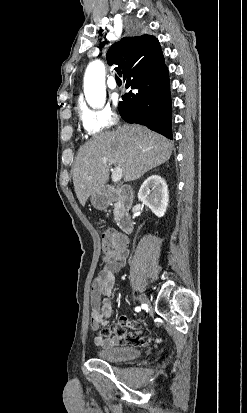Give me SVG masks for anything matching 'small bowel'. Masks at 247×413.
<instances>
[{"label":"small bowel","mask_w":247,"mask_h":413,"mask_svg":"<svg viewBox=\"0 0 247 413\" xmlns=\"http://www.w3.org/2000/svg\"><path fill=\"white\" fill-rule=\"evenodd\" d=\"M129 255L130 251L127 246L108 256L106 263L98 272L93 282L90 293V327L93 331H99L102 326L108 323V319L112 314L111 290L114 285V275L125 266ZM120 322L122 325L130 327V323L134 321L121 317ZM119 329L120 327H114L95 335V345L104 349H110L125 343H133L135 349H142L143 347H150V342L156 340L155 336L145 334L142 322L135 321L133 324L134 330H129L128 334H123L122 336L118 333ZM136 337H140V340H136Z\"/></svg>","instance_id":"c3829d8e"}]
</instances>
